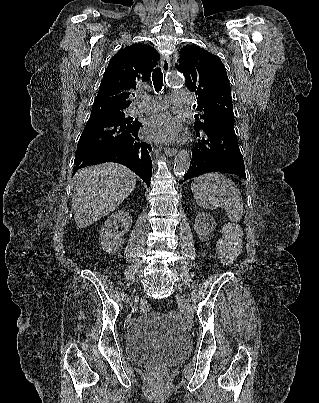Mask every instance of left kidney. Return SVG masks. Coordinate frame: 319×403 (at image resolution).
I'll return each mask as SVG.
<instances>
[{
	"instance_id": "5707ae66",
	"label": "left kidney",
	"mask_w": 319,
	"mask_h": 403,
	"mask_svg": "<svg viewBox=\"0 0 319 403\" xmlns=\"http://www.w3.org/2000/svg\"><path fill=\"white\" fill-rule=\"evenodd\" d=\"M214 219L206 212H199L195 218L194 229L201 241H206L209 234L214 230Z\"/></svg>"
}]
</instances>
